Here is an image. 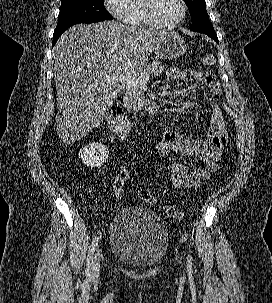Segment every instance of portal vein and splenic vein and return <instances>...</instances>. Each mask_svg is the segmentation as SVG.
Masks as SVG:
<instances>
[{
    "instance_id": "portal-vein-and-splenic-vein-1",
    "label": "portal vein and splenic vein",
    "mask_w": 272,
    "mask_h": 303,
    "mask_svg": "<svg viewBox=\"0 0 272 303\" xmlns=\"http://www.w3.org/2000/svg\"><path fill=\"white\" fill-rule=\"evenodd\" d=\"M149 78H150V74L141 75V76L128 75V76H120V77H116V76L106 77L104 78V81L120 82L128 86H137V85L145 86Z\"/></svg>"
}]
</instances>
